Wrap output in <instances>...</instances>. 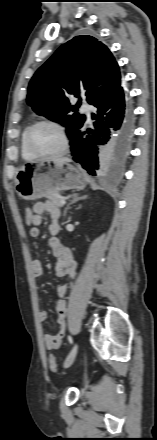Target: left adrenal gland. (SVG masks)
Returning <instances> with one entry per match:
<instances>
[{
  "label": "left adrenal gland",
  "mask_w": 157,
  "mask_h": 440,
  "mask_svg": "<svg viewBox=\"0 0 157 440\" xmlns=\"http://www.w3.org/2000/svg\"><path fill=\"white\" fill-rule=\"evenodd\" d=\"M73 196H74V197H73L72 201H71V202L67 205V207L65 208L63 216H66V213H67L68 209H70V205L76 203V202L79 201V200H84V199L87 198L86 195H83V196H81V197H77V195H73Z\"/></svg>",
  "instance_id": "obj_1"
}]
</instances>
